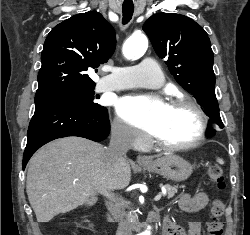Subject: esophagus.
Segmentation results:
<instances>
[{
  "mask_svg": "<svg viewBox=\"0 0 250 235\" xmlns=\"http://www.w3.org/2000/svg\"><path fill=\"white\" fill-rule=\"evenodd\" d=\"M137 162L138 163H149L150 160L147 157H145V156L139 155L137 157Z\"/></svg>",
  "mask_w": 250,
  "mask_h": 235,
  "instance_id": "obj_1",
  "label": "esophagus"
}]
</instances>
